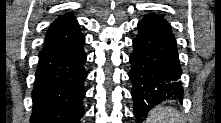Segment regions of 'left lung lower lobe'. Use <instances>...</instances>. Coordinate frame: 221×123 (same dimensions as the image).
Segmentation results:
<instances>
[{
    "label": "left lung lower lobe",
    "mask_w": 221,
    "mask_h": 123,
    "mask_svg": "<svg viewBox=\"0 0 221 123\" xmlns=\"http://www.w3.org/2000/svg\"><path fill=\"white\" fill-rule=\"evenodd\" d=\"M130 56L134 115L143 121L154 106L166 100H182L183 88L179 81L182 69L176 39L170 24L152 13L138 25Z\"/></svg>",
    "instance_id": "left-lung-lower-lobe-1"
}]
</instances>
